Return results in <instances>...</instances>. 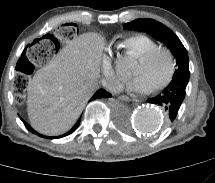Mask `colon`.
<instances>
[{"label": "colon", "mask_w": 215, "mask_h": 183, "mask_svg": "<svg viewBox=\"0 0 215 183\" xmlns=\"http://www.w3.org/2000/svg\"><path fill=\"white\" fill-rule=\"evenodd\" d=\"M80 37V26L75 22H66L60 24L52 34L33 40L29 44L25 56L18 63V75L14 81L16 91L26 90L30 75L36 65L45 64L58 54L63 43H75Z\"/></svg>", "instance_id": "obj_1"}]
</instances>
